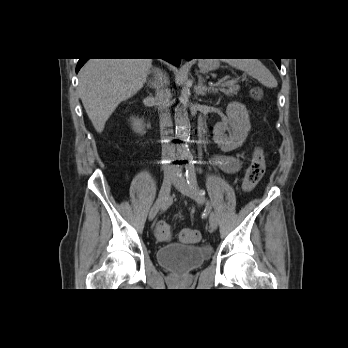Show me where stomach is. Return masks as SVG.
Listing matches in <instances>:
<instances>
[{
	"mask_svg": "<svg viewBox=\"0 0 348 348\" xmlns=\"http://www.w3.org/2000/svg\"><path fill=\"white\" fill-rule=\"evenodd\" d=\"M219 66L216 60H201L200 61V69L202 71L208 72L215 70Z\"/></svg>",
	"mask_w": 348,
	"mask_h": 348,
	"instance_id": "0dacf381",
	"label": "stomach"
}]
</instances>
